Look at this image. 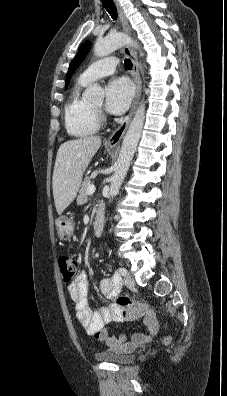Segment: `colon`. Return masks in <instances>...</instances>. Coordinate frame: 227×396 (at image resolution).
Segmentation results:
<instances>
[{
	"instance_id": "5ec220e1",
	"label": "colon",
	"mask_w": 227,
	"mask_h": 396,
	"mask_svg": "<svg viewBox=\"0 0 227 396\" xmlns=\"http://www.w3.org/2000/svg\"><path fill=\"white\" fill-rule=\"evenodd\" d=\"M59 269L62 275V279L66 285H69L73 282L76 271H77V262L68 256H63L59 259ZM130 302L129 298L123 297L118 301L120 305H126ZM164 343L168 344L171 342V337L167 336L164 338Z\"/></svg>"
}]
</instances>
